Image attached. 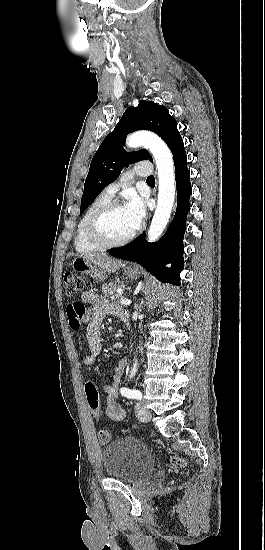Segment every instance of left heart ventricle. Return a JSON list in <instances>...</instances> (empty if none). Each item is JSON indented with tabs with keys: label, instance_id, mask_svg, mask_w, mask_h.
<instances>
[{
	"label": "left heart ventricle",
	"instance_id": "obj_1",
	"mask_svg": "<svg viewBox=\"0 0 265 550\" xmlns=\"http://www.w3.org/2000/svg\"><path fill=\"white\" fill-rule=\"evenodd\" d=\"M103 234L109 240H120L134 231L131 219L121 207L108 214L101 223Z\"/></svg>",
	"mask_w": 265,
	"mask_h": 550
}]
</instances>
